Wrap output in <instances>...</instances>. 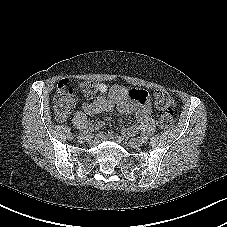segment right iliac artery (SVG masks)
Listing matches in <instances>:
<instances>
[{"mask_svg": "<svg viewBox=\"0 0 227 227\" xmlns=\"http://www.w3.org/2000/svg\"><path fill=\"white\" fill-rule=\"evenodd\" d=\"M102 125H103L102 122L99 121V122L96 123V125H93V124H92L89 128H90V130L93 131V130H95V129L97 130V129L101 128Z\"/></svg>", "mask_w": 227, "mask_h": 227, "instance_id": "obj_1", "label": "right iliac artery"}]
</instances>
